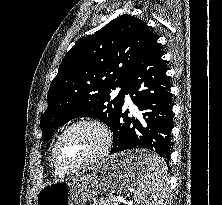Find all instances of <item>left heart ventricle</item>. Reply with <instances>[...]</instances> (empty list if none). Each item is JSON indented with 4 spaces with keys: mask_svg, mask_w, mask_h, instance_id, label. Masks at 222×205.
Returning <instances> with one entry per match:
<instances>
[{
    "mask_svg": "<svg viewBox=\"0 0 222 205\" xmlns=\"http://www.w3.org/2000/svg\"><path fill=\"white\" fill-rule=\"evenodd\" d=\"M103 143L102 134L91 126H78L62 139L58 156L66 165H75L94 155Z\"/></svg>",
    "mask_w": 222,
    "mask_h": 205,
    "instance_id": "1",
    "label": "left heart ventricle"
}]
</instances>
